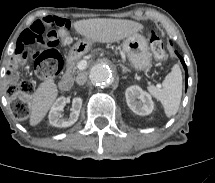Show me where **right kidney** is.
<instances>
[{
	"label": "right kidney",
	"instance_id": "1",
	"mask_svg": "<svg viewBox=\"0 0 215 183\" xmlns=\"http://www.w3.org/2000/svg\"><path fill=\"white\" fill-rule=\"evenodd\" d=\"M66 103L67 99L65 97H60L51 107V110L49 112V122L52 126L69 127L78 120L82 107V99L80 97H74L72 99V108L69 118H63L61 115V112L63 111Z\"/></svg>",
	"mask_w": 215,
	"mask_h": 183
}]
</instances>
